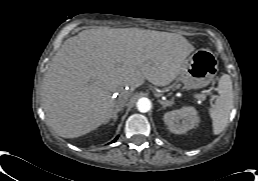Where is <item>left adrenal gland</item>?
Masks as SVG:
<instances>
[{
    "instance_id": "obj_1",
    "label": "left adrenal gland",
    "mask_w": 258,
    "mask_h": 181,
    "mask_svg": "<svg viewBox=\"0 0 258 181\" xmlns=\"http://www.w3.org/2000/svg\"><path fill=\"white\" fill-rule=\"evenodd\" d=\"M158 102L163 106V108H166L168 106H172L174 104L173 99L171 101L158 100Z\"/></svg>"
}]
</instances>
